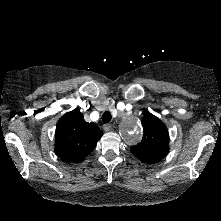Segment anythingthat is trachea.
<instances>
[{"label":"trachea","instance_id":"trachea-1","mask_svg":"<svg viewBox=\"0 0 221 221\" xmlns=\"http://www.w3.org/2000/svg\"><path fill=\"white\" fill-rule=\"evenodd\" d=\"M111 119H112L111 113L109 111H105L102 115V121L104 123H108L111 121Z\"/></svg>","mask_w":221,"mask_h":221}]
</instances>
